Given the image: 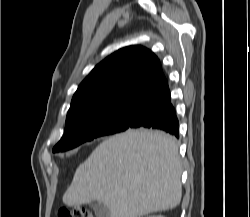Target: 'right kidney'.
<instances>
[{
	"label": "right kidney",
	"mask_w": 250,
	"mask_h": 217,
	"mask_svg": "<svg viewBox=\"0 0 250 217\" xmlns=\"http://www.w3.org/2000/svg\"><path fill=\"white\" fill-rule=\"evenodd\" d=\"M149 217H163V216H161V215H158V216H149Z\"/></svg>",
	"instance_id": "obj_1"
}]
</instances>
